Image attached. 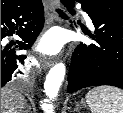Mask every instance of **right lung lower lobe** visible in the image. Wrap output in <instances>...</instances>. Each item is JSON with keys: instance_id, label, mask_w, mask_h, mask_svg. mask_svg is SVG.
<instances>
[{"instance_id": "1", "label": "right lung lower lobe", "mask_w": 123, "mask_h": 113, "mask_svg": "<svg viewBox=\"0 0 123 113\" xmlns=\"http://www.w3.org/2000/svg\"><path fill=\"white\" fill-rule=\"evenodd\" d=\"M44 24V9L41 0H25L18 6L1 12V40L5 36L16 34L22 39L18 45L3 47L1 45V87L11 80L16 74L21 73L25 55H17L15 49L30 47Z\"/></svg>"}]
</instances>
